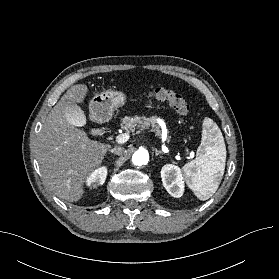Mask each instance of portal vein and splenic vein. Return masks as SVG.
Listing matches in <instances>:
<instances>
[{"instance_id":"18ae733b","label":"portal vein and splenic vein","mask_w":279,"mask_h":279,"mask_svg":"<svg viewBox=\"0 0 279 279\" xmlns=\"http://www.w3.org/2000/svg\"><path fill=\"white\" fill-rule=\"evenodd\" d=\"M129 134L128 133H122V134H119L117 137H116V142L118 144H122V143H125L128 141L129 139Z\"/></svg>"}]
</instances>
